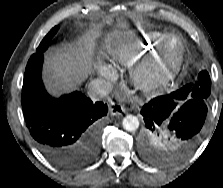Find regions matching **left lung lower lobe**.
Masks as SVG:
<instances>
[{
	"label": "left lung lower lobe",
	"instance_id": "0a47b994",
	"mask_svg": "<svg viewBox=\"0 0 223 188\" xmlns=\"http://www.w3.org/2000/svg\"><path fill=\"white\" fill-rule=\"evenodd\" d=\"M171 94L153 98L141 110L145 129H163L179 143L182 154L193 151L201 138L207 104L196 100L178 103Z\"/></svg>",
	"mask_w": 223,
	"mask_h": 188
}]
</instances>
